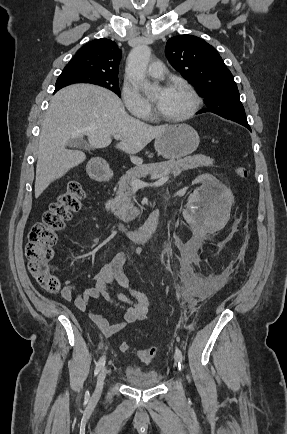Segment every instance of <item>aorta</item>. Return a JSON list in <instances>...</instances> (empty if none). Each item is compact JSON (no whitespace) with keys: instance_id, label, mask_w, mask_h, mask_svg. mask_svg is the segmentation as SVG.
<instances>
[{"instance_id":"aorta-1","label":"aorta","mask_w":287,"mask_h":434,"mask_svg":"<svg viewBox=\"0 0 287 434\" xmlns=\"http://www.w3.org/2000/svg\"><path fill=\"white\" fill-rule=\"evenodd\" d=\"M151 49L147 45H138L131 50L127 59V74L141 87L147 89L151 85L146 79L147 66Z\"/></svg>"}]
</instances>
